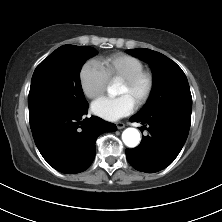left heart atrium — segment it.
<instances>
[{
    "mask_svg": "<svg viewBox=\"0 0 222 222\" xmlns=\"http://www.w3.org/2000/svg\"><path fill=\"white\" fill-rule=\"evenodd\" d=\"M135 109V102L127 95L116 98L101 97L91 105L93 114L109 120L115 121L131 114Z\"/></svg>",
    "mask_w": 222,
    "mask_h": 222,
    "instance_id": "1",
    "label": "left heart atrium"
}]
</instances>
